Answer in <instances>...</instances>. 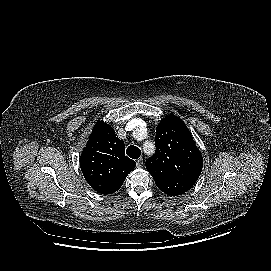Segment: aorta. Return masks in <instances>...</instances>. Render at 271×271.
Returning <instances> with one entry per match:
<instances>
[{
  "label": "aorta",
  "instance_id": "1",
  "mask_svg": "<svg viewBox=\"0 0 271 271\" xmlns=\"http://www.w3.org/2000/svg\"><path fill=\"white\" fill-rule=\"evenodd\" d=\"M144 148H146V149H147V148H148V149L151 148L152 151H153V150H154V145H153L152 143H146L145 146H144Z\"/></svg>",
  "mask_w": 271,
  "mask_h": 271
}]
</instances>
